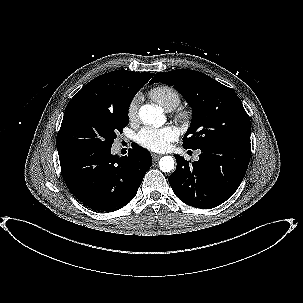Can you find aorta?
Instances as JSON below:
<instances>
[{"mask_svg":"<svg viewBox=\"0 0 303 303\" xmlns=\"http://www.w3.org/2000/svg\"><path fill=\"white\" fill-rule=\"evenodd\" d=\"M140 119L146 124H153L158 127L165 121L162 109L157 105L146 104L141 106L139 110ZM159 167L162 172H170L174 169V158L172 156H164L159 161Z\"/></svg>","mask_w":303,"mask_h":303,"instance_id":"762f6f07","label":"aorta"}]
</instances>
